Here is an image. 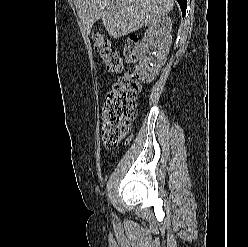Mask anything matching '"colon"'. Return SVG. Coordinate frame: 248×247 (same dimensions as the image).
<instances>
[{
  "mask_svg": "<svg viewBox=\"0 0 248 247\" xmlns=\"http://www.w3.org/2000/svg\"><path fill=\"white\" fill-rule=\"evenodd\" d=\"M95 49L106 65L107 71L117 74L122 70V59L110 47L108 40L101 34L94 35ZM138 38L128 35L125 39L124 55L126 62L137 61ZM140 77L136 71L121 77L108 93L102 112L101 134L107 148H116L130 131L136 115L137 95L140 91Z\"/></svg>",
  "mask_w": 248,
  "mask_h": 247,
  "instance_id": "1",
  "label": "colon"
}]
</instances>
